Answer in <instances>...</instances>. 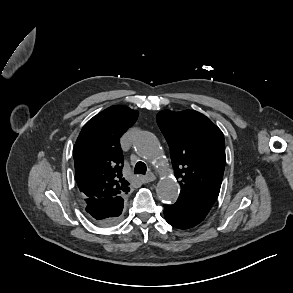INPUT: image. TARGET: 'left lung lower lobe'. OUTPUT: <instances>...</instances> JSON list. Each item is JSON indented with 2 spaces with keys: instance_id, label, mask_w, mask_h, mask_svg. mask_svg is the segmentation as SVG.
I'll return each mask as SVG.
<instances>
[{
  "instance_id": "0a47b994",
  "label": "left lung lower lobe",
  "mask_w": 293,
  "mask_h": 293,
  "mask_svg": "<svg viewBox=\"0 0 293 293\" xmlns=\"http://www.w3.org/2000/svg\"><path fill=\"white\" fill-rule=\"evenodd\" d=\"M207 214V211L185 203L180 199L172 205H164L166 221L171 226L183 230L196 226L203 221Z\"/></svg>"
}]
</instances>
